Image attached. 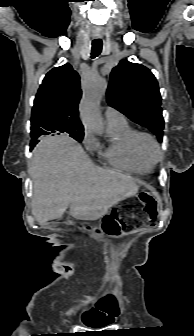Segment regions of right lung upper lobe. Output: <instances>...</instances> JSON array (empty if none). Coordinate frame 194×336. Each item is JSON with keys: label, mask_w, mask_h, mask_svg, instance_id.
I'll return each instance as SVG.
<instances>
[{"label": "right lung upper lobe", "mask_w": 194, "mask_h": 336, "mask_svg": "<svg viewBox=\"0 0 194 336\" xmlns=\"http://www.w3.org/2000/svg\"><path fill=\"white\" fill-rule=\"evenodd\" d=\"M80 98V78L70 64L49 71L32 109L31 145L35 146L40 136L83 132L78 117Z\"/></svg>", "instance_id": "cb5924a9"}]
</instances>
